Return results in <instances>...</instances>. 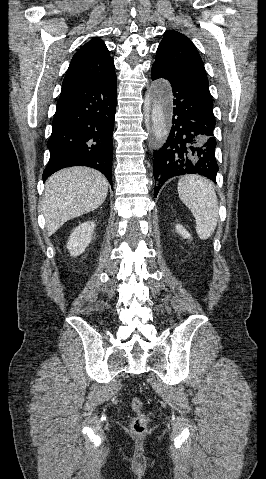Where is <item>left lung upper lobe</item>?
Instances as JSON below:
<instances>
[{"label":"left lung upper lobe","mask_w":266,"mask_h":479,"mask_svg":"<svg viewBox=\"0 0 266 479\" xmlns=\"http://www.w3.org/2000/svg\"><path fill=\"white\" fill-rule=\"evenodd\" d=\"M153 65L170 77L211 97L202 59L195 45L184 34L174 30L166 31Z\"/></svg>","instance_id":"obj_1"}]
</instances>
